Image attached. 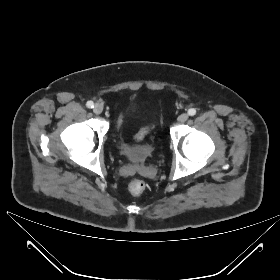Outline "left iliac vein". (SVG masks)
Returning a JSON list of instances; mask_svg holds the SVG:
<instances>
[{"label": "left iliac vein", "instance_id": "1", "mask_svg": "<svg viewBox=\"0 0 280 280\" xmlns=\"http://www.w3.org/2000/svg\"><path fill=\"white\" fill-rule=\"evenodd\" d=\"M189 118L187 113H182L179 117H178V122L179 123H184L185 121H187Z\"/></svg>", "mask_w": 280, "mask_h": 280}]
</instances>
